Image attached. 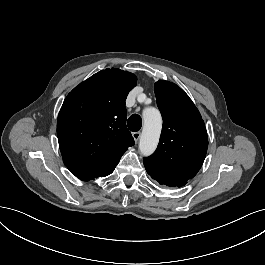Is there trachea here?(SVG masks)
<instances>
[{
    "label": "trachea",
    "instance_id": "trachea-1",
    "mask_svg": "<svg viewBox=\"0 0 265 265\" xmlns=\"http://www.w3.org/2000/svg\"><path fill=\"white\" fill-rule=\"evenodd\" d=\"M127 126L132 132L139 131L142 126L141 117L137 114L130 116V118L127 121Z\"/></svg>",
    "mask_w": 265,
    "mask_h": 265
}]
</instances>
